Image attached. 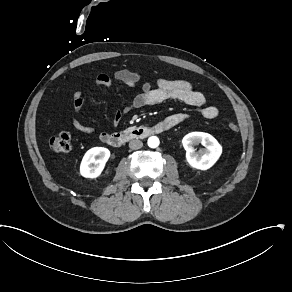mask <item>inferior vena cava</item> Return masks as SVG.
I'll use <instances>...</instances> for the list:
<instances>
[{"label": "inferior vena cava", "instance_id": "1", "mask_svg": "<svg viewBox=\"0 0 292 292\" xmlns=\"http://www.w3.org/2000/svg\"><path fill=\"white\" fill-rule=\"evenodd\" d=\"M142 146H143V143L140 140H131L129 142V148L133 150L140 149L142 148Z\"/></svg>", "mask_w": 292, "mask_h": 292}]
</instances>
